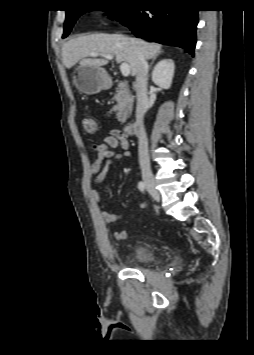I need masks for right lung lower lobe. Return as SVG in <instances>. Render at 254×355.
<instances>
[{"mask_svg":"<svg viewBox=\"0 0 254 355\" xmlns=\"http://www.w3.org/2000/svg\"><path fill=\"white\" fill-rule=\"evenodd\" d=\"M181 1V2H180ZM188 0H168L159 7L145 12V5L135 6L118 20L129 27L134 35L161 44L177 45L194 55L198 10Z\"/></svg>","mask_w":254,"mask_h":355,"instance_id":"obj_1","label":"right lung lower lobe"}]
</instances>
